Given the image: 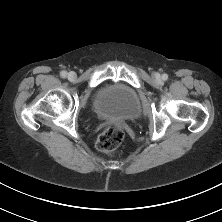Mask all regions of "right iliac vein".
I'll list each match as a JSON object with an SVG mask.
<instances>
[{
  "label": "right iliac vein",
  "mask_w": 222,
  "mask_h": 222,
  "mask_svg": "<svg viewBox=\"0 0 222 222\" xmlns=\"http://www.w3.org/2000/svg\"><path fill=\"white\" fill-rule=\"evenodd\" d=\"M75 77H76L75 72H69V73H68V79H69V80H74Z\"/></svg>",
  "instance_id": "right-iliac-vein-1"
}]
</instances>
